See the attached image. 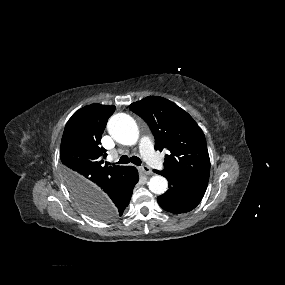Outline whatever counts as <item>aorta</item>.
Instances as JSON below:
<instances>
[{
	"instance_id": "obj_1",
	"label": "aorta",
	"mask_w": 285,
	"mask_h": 285,
	"mask_svg": "<svg viewBox=\"0 0 285 285\" xmlns=\"http://www.w3.org/2000/svg\"><path fill=\"white\" fill-rule=\"evenodd\" d=\"M109 134L123 145H134L139 138V130L135 120L125 113L113 115L108 122ZM149 190L161 195L165 193L168 182L165 177L156 175L150 178L148 182Z\"/></svg>"
}]
</instances>
